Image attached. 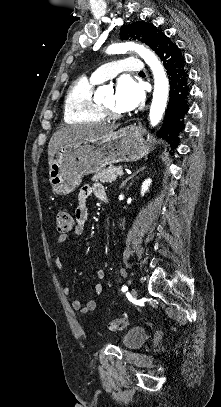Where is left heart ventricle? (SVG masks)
I'll return each instance as SVG.
<instances>
[{"label":"left heart ventricle","mask_w":221,"mask_h":407,"mask_svg":"<svg viewBox=\"0 0 221 407\" xmlns=\"http://www.w3.org/2000/svg\"><path fill=\"white\" fill-rule=\"evenodd\" d=\"M103 104L105 106H107L108 108L114 109L116 111L119 112H123L124 110H122L118 104H117V99H116V95L115 92H112L104 101Z\"/></svg>","instance_id":"1"}]
</instances>
